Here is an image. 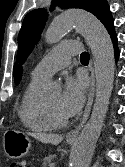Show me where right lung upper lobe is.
<instances>
[{"label": "right lung upper lobe", "mask_w": 125, "mask_h": 167, "mask_svg": "<svg viewBox=\"0 0 125 167\" xmlns=\"http://www.w3.org/2000/svg\"><path fill=\"white\" fill-rule=\"evenodd\" d=\"M21 76H22V70L20 67H18L16 64L14 66V81L15 84H19L20 80H21Z\"/></svg>", "instance_id": "right-lung-upper-lobe-1"}]
</instances>
